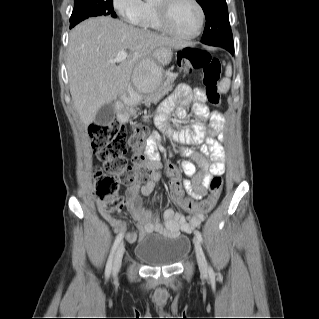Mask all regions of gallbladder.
<instances>
[{
	"label": "gallbladder",
	"instance_id": "bac80fb5",
	"mask_svg": "<svg viewBox=\"0 0 319 319\" xmlns=\"http://www.w3.org/2000/svg\"><path fill=\"white\" fill-rule=\"evenodd\" d=\"M115 118L114 103L103 105L96 113L95 123L98 125H106L111 123Z\"/></svg>",
	"mask_w": 319,
	"mask_h": 319
}]
</instances>
